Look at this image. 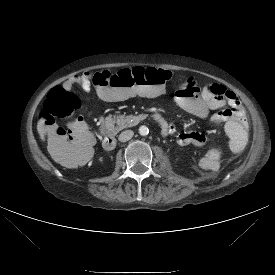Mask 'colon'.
<instances>
[{
  "label": "colon",
  "mask_w": 275,
  "mask_h": 275,
  "mask_svg": "<svg viewBox=\"0 0 275 275\" xmlns=\"http://www.w3.org/2000/svg\"><path fill=\"white\" fill-rule=\"evenodd\" d=\"M170 71L157 68H134L123 70L116 74L109 71L89 73L94 85L98 86L99 96L106 101H125L133 97L158 96L165 88V84L172 78ZM197 86L193 78L186 84ZM81 102L78 96L63 87H55L48 95L42 118L49 129V153L59 158L73 149L76 135L79 131L70 126L66 131L56 128L58 119H70L79 110Z\"/></svg>",
  "instance_id": "obj_1"
}]
</instances>
